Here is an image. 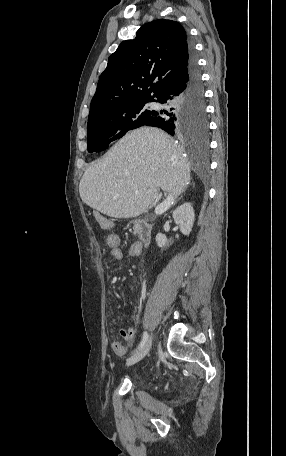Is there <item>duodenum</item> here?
Wrapping results in <instances>:
<instances>
[{"label": "duodenum", "instance_id": "410a0bca", "mask_svg": "<svg viewBox=\"0 0 286 456\" xmlns=\"http://www.w3.org/2000/svg\"><path fill=\"white\" fill-rule=\"evenodd\" d=\"M139 243L141 246H147L152 240V224L145 220H140L136 223Z\"/></svg>", "mask_w": 286, "mask_h": 456}]
</instances>
